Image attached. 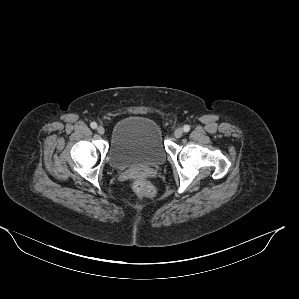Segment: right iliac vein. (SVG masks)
<instances>
[{
    "mask_svg": "<svg viewBox=\"0 0 299 299\" xmlns=\"http://www.w3.org/2000/svg\"><path fill=\"white\" fill-rule=\"evenodd\" d=\"M97 132L100 134V135H103L105 133V129L103 126H98L97 127Z\"/></svg>",
    "mask_w": 299,
    "mask_h": 299,
    "instance_id": "1",
    "label": "right iliac vein"
}]
</instances>
